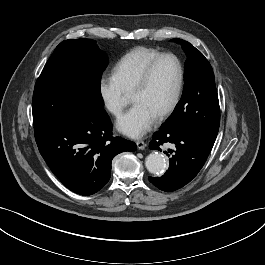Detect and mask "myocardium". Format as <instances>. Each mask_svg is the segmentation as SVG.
Segmentation results:
<instances>
[{
    "label": "myocardium",
    "mask_w": 265,
    "mask_h": 265,
    "mask_svg": "<svg viewBox=\"0 0 265 265\" xmlns=\"http://www.w3.org/2000/svg\"><path fill=\"white\" fill-rule=\"evenodd\" d=\"M166 58H171L176 62V65L178 68V82H177L176 90H175L172 101L162 112H160L156 116V118L158 120H162V119L168 117L171 113H173V111L176 109V107L178 106V104L180 102L182 92H183V87H184V78H185L184 67L182 65L181 60L173 53H161V54H159L157 57L152 59L146 65V67L142 71L141 75L139 76L136 84L134 85V87L131 91V97L133 95L143 91L147 87V85L150 81L152 72H153L154 68L156 67V65L161 60L166 59Z\"/></svg>",
    "instance_id": "obj_1"
}]
</instances>
